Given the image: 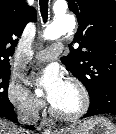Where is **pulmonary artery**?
I'll return each instance as SVG.
<instances>
[{
    "mask_svg": "<svg viewBox=\"0 0 116 134\" xmlns=\"http://www.w3.org/2000/svg\"><path fill=\"white\" fill-rule=\"evenodd\" d=\"M62 51H63L62 44L59 43L53 44L52 46L39 51L36 54V58L40 61H51L58 55H60Z\"/></svg>",
    "mask_w": 116,
    "mask_h": 134,
    "instance_id": "e3ab8cb5",
    "label": "pulmonary artery"
}]
</instances>
